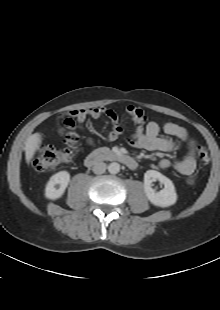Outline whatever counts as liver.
I'll return each instance as SVG.
<instances>
[{
  "mask_svg": "<svg viewBox=\"0 0 220 310\" xmlns=\"http://www.w3.org/2000/svg\"><path fill=\"white\" fill-rule=\"evenodd\" d=\"M41 144V134L34 133L32 134L26 141L25 144V159L27 163H30L32 158L34 157L36 151L39 149Z\"/></svg>",
  "mask_w": 220,
  "mask_h": 310,
  "instance_id": "1",
  "label": "liver"
}]
</instances>
